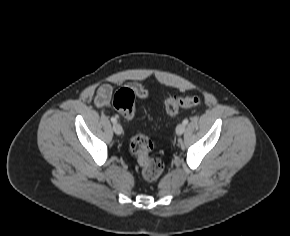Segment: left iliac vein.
I'll use <instances>...</instances> for the list:
<instances>
[{"instance_id":"4c4485c4","label":"left iliac vein","mask_w":290,"mask_h":236,"mask_svg":"<svg viewBox=\"0 0 290 236\" xmlns=\"http://www.w3.org/2000/svg\"><path fill=\"white\" fill-rule=\"evenodd\" d=\"M184 131H185V124H183V123L178 124L176 127V133L178 135H181L184 133Z\"/></svg>"}]
</instances>
